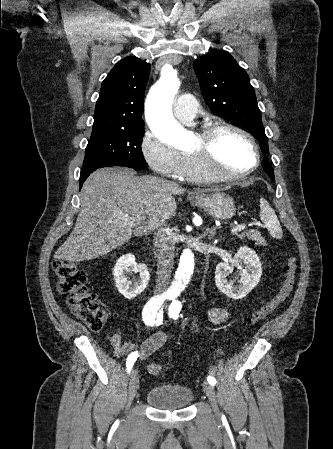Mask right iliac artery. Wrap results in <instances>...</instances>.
I'll list each match as a JSON object with an SVG mask.
<instances>
[{"instance_id":"obj_1","label":"right iliac artery","mask_w":333,"mask_h":449,"mask_svg":"<svg viewBox=\"0 0 333 449\" xmlns=\"http://www.w3.org/2000/svg\"><path fill=\"white\" fill-rule=\"evenodd\" d=\"M167 299L166 295L151 298L144 306L142 318L146 325H161L163 322V312L160 309L162 303ZM139 357L138 352H133L127 357L126 367L130 373L136 359Z\"/></svg>"}]
</instances>
